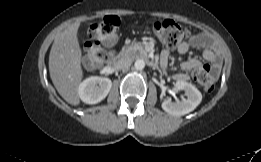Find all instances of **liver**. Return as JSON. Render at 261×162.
Wrapping results in <instances>:
<instances>
[{
	"mask_svg": "<svg viewBox=\"0 0 261 162\" xmlns=\"http://www.w3.org/2000/svg\"><path fill=\"white\" fill-rule=\"evenodd\" d=\"M79 26L80 23H74L57 34L49 55L51 80L61 97L74 106L80 104L78 87L83 79Z\"/></svg>",
	"mask_w": 261,
	"mask_h": 162,
	"instance_id": "6515ba94",
	"label": "liver"
}]
</instances>
